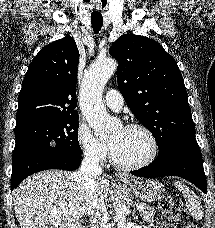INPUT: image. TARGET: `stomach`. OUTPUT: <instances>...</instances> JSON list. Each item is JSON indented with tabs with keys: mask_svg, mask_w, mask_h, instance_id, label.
I'll list each match as a JSON object with an SVG mask.
<instances>
[{
	"mask_svg": "<svg viewBox=\"0 0 215 228\" xmlns=\"http://www.w3.org/2000/svg\"><path fill=\"white\" fill-rule=\"evenodd\" d=\"M125 180H118V186H128L131 188L132 194L143 200V202H155L158 196L163 192L162 184L156 182V180H132L129 176H125Z\"/></svg>",
	"mask_w": 215,
	"mask_h": 228,
	"instance_id": "0dacf381",
	"label": "stomach"
}]
</instances>
